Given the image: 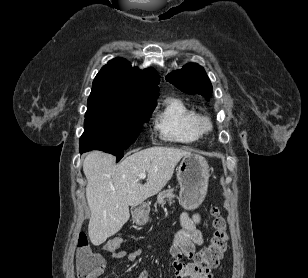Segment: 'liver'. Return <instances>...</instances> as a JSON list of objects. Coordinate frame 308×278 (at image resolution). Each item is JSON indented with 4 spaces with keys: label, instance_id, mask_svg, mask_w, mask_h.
Segmentation results:
<instances>
[{
    "label": "liver",
    "instance_id": "liver-1",
    "mask_svg": "<svg viewBox=\"0 0 308 278\" xmlns=\"http://www.w3.org/2000/svg\"><path fill=\"white\" fill-rule=\"evenodd\" d=\"M186 150L154 146L133 153L115 165L114 156L89 152L83 161L87 178L86 198L91 211L88 234L100 245L116 234L129 220V206H136L157 194L172 178ZM147 173L145 184L138 178Z\"/></svg>",
    "mask_w": 308,
    "mask_h": 278
}]
</instances>
